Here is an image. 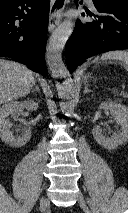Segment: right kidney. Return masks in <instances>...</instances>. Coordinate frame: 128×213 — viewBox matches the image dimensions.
I'll return each mask as SVG.
<instances>
[{
  "instance_id": "ca27d5eb",
  "label": "right kidney",
  "mask_w": 128,
  "mask_h": 213,
  "mask_svg": "<svg viewBox=\"0 0 128 213\" xmlns=\"http://www.w3.org/2000/svg\"><path fill=\"white\" fill-rule=\"evenodd\" d=\"M24 109L35 111L38 109V103L34 100L10 101L0 107V137L3 142L16 148L27 144L31 138V131L26 129L21 136L14 135L11 131L12 123L9 121L8 116H19Z\"/></svg>"
}]
</instances>
